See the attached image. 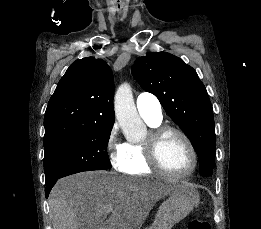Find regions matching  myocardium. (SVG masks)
<instances>
[{"mask_svg":"<svg viewBox=\"0 0 261 229\" xmlns=\"http://www.w3.org/2000/svg\"><path fill=\"white\" fill-rule=\"evenodd\" d=\"M176 134L179 135L189 148L192 157V164L188 171L185 173H175L165 167L160 158V147L167 135ZM147 148L148 160L152 168L168 177L172 178H185L190 176L197 167V152L191 139L181 129L173 126H160L151 131L148 140L145 142Z\"/></svg>","mask_w":261,"mask_h":229,"instance_id":"myocardium-1","label":"myocardium"}]
</instances>
